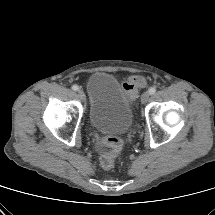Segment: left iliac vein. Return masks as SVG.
<instances>
[{
	"instance_id": "left-iliac-vein-1",
	"label": "left iliac vein",
	"mask_w": 215,
	"mask_h": 215,
	"mask_svg": "<svg viewBox=\"0 0 215 215\" xmlns=\"http://www.w3.org/2000/svg\"><path fill=\"white\" fill-rule=\"evenodd\" d=\"M149 98H150V94L149 92H144L141 96V102L143 104L147 103L149 101Z\"/></svg>"
}]
</instances>
